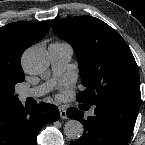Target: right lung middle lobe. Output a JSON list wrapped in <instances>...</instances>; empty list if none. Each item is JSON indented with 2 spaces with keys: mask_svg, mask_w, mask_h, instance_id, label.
I'll return each instance as SVG.
<instances>
[{
  "mask_svg": "<svg viewBox=\"0 0 145 145\" xmlns=\"http://www.w3.org/2000/svg\"><path fill=\"white\" fill-rule=\"evenodd\" d=\"M14 93H15V91L6 98V101H15V100H18V95L14 94Z\"/></svg>",
  "mask_w": 145,
  "mask_h": 145,
  "instance_id": "right-lung-middle-lobe-1",
  "label": "right lung middle lobe"
}]
</instances>
